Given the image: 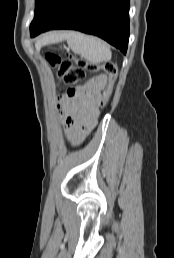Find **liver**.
Returning <instances> with one entry per match:
<instances>
[{
  "mask_svg": "<svg viewBox=\"0 0 174 258\" xmlns=\"http://www.w3.org/2000/svg\"><path fill=\"white\" fill-rule=\"evenodd\" d=\"M62 35H51L50 38H62Z\"/></svg>",
  "mask_w": 174,
  "mask_h": 258,
  "instance_id": "6515ba94",
  "label": "liver"
}]
</instances>
